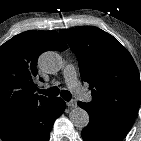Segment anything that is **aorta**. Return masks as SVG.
<instances>
[{
  "label": "aorta",
  "instance_id": "762f6f07",
  "mask_svg": "<svg viewBox=\"0 0 141 141\" xmlns=\"http://www.w3.org/2000/svg\"><path fill=\"white\" fill-rule=\"evenodd\" d=\"M38 63L42 71L48 74H55L62 67V58L55 51H47L39 57ZM69 118L72 124L79 129L85 128L89 123L88 113L80 107L72 109L69 113Z\"/></svg>",
  "mask_w": 141,
  "mask_h": 141
}]
</instances>
